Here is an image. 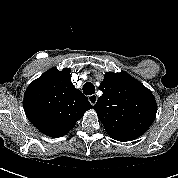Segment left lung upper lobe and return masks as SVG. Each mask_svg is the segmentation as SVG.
I'll list each match as a JSON object with an SVG mask.
<instances>
[{
  "label": "left lung upper lobe",
  "mask_w": 178,
  "mask_h": 178,
  "mask_svg": "<svg viewBox=\"0 0 178 178\" xmlns=\"http://www.w3.org/2000/svg\"><path fill=\"white\" fill-rule=\"evenodd\" d=\"M98 88L103 94L93 108L111 138L137 139L155 120L154 95L126 72L106 73Z\"/></svg>",
  "instance_id": "1"
}]
</instances>
